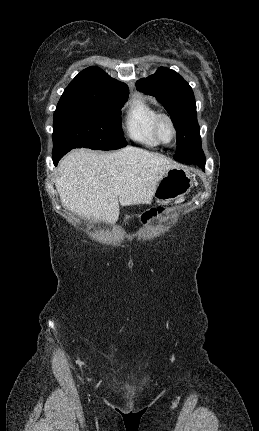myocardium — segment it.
<instances>
[{"label": "myocardium", "instance_id": "f54148a6", "mask_svg": "<svg viewBox=\"0 0 259 431\" xmlns=\"http://www.w3.org/2000/svg\"><path fill=\"white\" fill-rule=\"evenodd\" d=\"M163 123H167L170 126L171 131H172L171 138L168 141L164 140L162 135H161V126ZM154 132H155V136L158 139V141L164 145L172 143L176 139V136H177L176 125H175L173 119L171 118V116L166 114V113H159L157 115L155 122H154Z\"/></svg>", "mask_w": 259, "mask_h": 431}]
</instances>
